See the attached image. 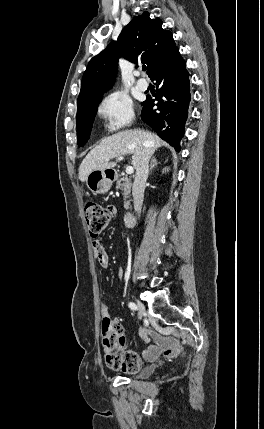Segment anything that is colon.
Returning a JSON list of instances; mask_svg holds the SVG:
<instances>
[{"label":"colon","mask_w":264,"mask_h":429,"mask_svg":"<svg viewBox=\"0 0 264 429\" xmlns=\"http://www.w3.org/2000/svg\"><path fill=\"white\" fill-rule=\"evenodd\" d=\"M85 219L88 231L92 237H97L108 225L111 218V210L93 200H88L84 205ZM102 344L107 354V362L114 368L125 366V372L135 373L140 367L139 358L134 354H128L122 358L121 349L125 345V337L122 327L112 321L106 314L102 319Z\"/></svg>","instance_id":"5ec220e1"}]
</instances>
